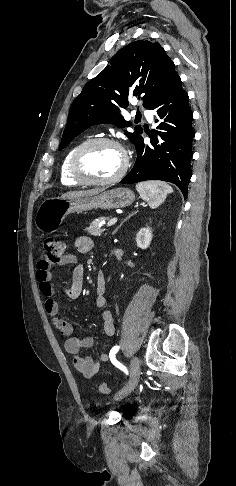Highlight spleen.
Returning <instances> with one entry per match:
<instances>
[{"label":"spleen","mask_w":236,"mask_h":486,"mask_svg":"<svg viewBox=\"0 0 236 486\" xmlns=\"http://www.w3.org/2000/svg\"><path fill=\"white\" fill-rule=\"evenodd\" d=\"M136 190L140 197L153 209L161 205L165 201L167 195L173 192L170 185L161 181H144L137 183Z\"/></svg>","instance_id":"spleen-1"}]
</instances>
